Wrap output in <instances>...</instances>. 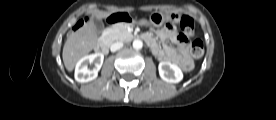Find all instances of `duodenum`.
<instances>
[{
    "label": "duodenum",
    "instance_id": "410a0bca",
    "mask_svg": "<svg viewBox=\"0 0 276 120\" xmlns=\"http://www.w3.org/2000/svg\"><path fill=\"white\" fill-rule=\"evenodd\" d=\"M133 21L134 20H133L132 17L119 14V15L113 17V18H110L108 20L107 19L104 20L102 24L106 28L109 27V26L113 27L117 24H120L122 26L127 25V26L130 27V26L133 25V23H134ZM139 38L144 40L146 43L149 41V38L145 34H141L139 36ZM96 50L101 54H107L108 51H109V45L106 42L101 41L97 44Z\"/></svg>",
    "mask_w": 276,
    "mask_h": 120
}]
</instances>
